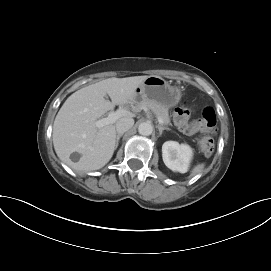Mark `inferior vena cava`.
Segmentation results:
<instances>
[{"label": "inferior vena cava", "instance_id": "602c4592", "mask_svg": "<svg viewBox=\"0 0 271 271\" xmlns=\"http://www.w3.org/2000/svg\"><path fill=\"white\" fill-rule=\"evenodd\" d=\"M134 125V120L131 117H124L117 121L116 131L118 134H123Z\"/></svg>", "mask_w": 271, "mask_h": 271}]
</instances>
